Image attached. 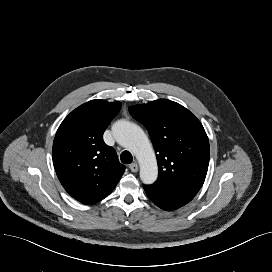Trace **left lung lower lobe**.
I'll list each match as a JSON object with an SVG mask.
<instances>
[{
    "instance_id": "1",
    "label": "left lung lower lobe",
    "mask_w": 272,
    "mask_h": 272,
    "mask_svg": "<svg viewBox=\"0 0 272 272\" xmlns=\"http://www.w3.org/2000/svg\"><path fill=\"white\" fill-rule=\"evenodd\" d=\"M148 198L158 207L170 211L178 209L190 202L196 192L187 188L173 185L154 183L152 185H143Z\"/></svg>"
}]
</instances>
